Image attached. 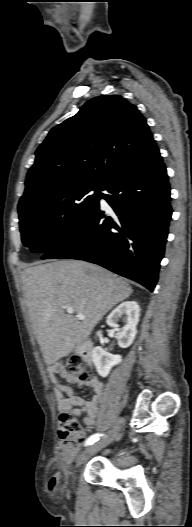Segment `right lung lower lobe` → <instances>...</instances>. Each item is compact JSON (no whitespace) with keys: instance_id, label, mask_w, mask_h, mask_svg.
Returning a JSON list of instances; mask_svg holds the SVG:
<instances>
[{"instance_id":"right-lung-lower-lobe-1","label":"right lung lower lobe","mask_w":192,"mask_h":527,"mask_svg":"<svg viewBox=\"0 0 192 527\" xmlns=\"http://www.w3.org/2000/svg\"><path fill=\"white\" fill-rule=\"evenodd\" d=\"M98 203L69 236L42 259H81L132 279L153 291L172 214L166 167L154 139L103 186ZM100 200V198H99Z\"/></svg>"}]
</instances>
